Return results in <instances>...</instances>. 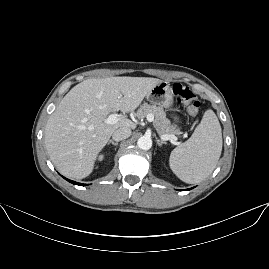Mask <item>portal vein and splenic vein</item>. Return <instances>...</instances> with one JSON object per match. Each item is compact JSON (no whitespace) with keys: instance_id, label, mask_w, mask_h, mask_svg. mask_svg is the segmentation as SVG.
<instances>
[{"instance_id":"obj_1","label":"portal vein and splenic vein","mask_w":269,"mask_h":269,"mask_svg":"<svg viewBox=\"0 0 269 269\" xmlns=\"http://www.w3.org/2000/svg\"><path fill=\"white\" fill-rule=\"evenodd\" d=\"M117 119H118V115L115 114V113H112L108 116V119H107V122L110 123V124H115L117 122ZM147 120L149 122H153L154 120V115L153 114H148L147 115ZM160 139L162 141H167L169 139H172L174 140L175 139V136L174 135H167V134H162L160 135ZM176 144H180L179 142H177Z\"/></svg>"}]
</instances>
